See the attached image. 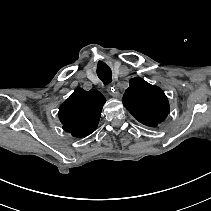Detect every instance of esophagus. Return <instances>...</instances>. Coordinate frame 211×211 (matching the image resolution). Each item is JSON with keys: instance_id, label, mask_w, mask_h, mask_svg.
<instances>
[{"instance_id": "esophagus-1", "label": "esophagus", "mask_w": 211, "mask_h": 211, "mask_svg": "<svg viewBox=\"0 0 211 211\" xmlns=\"http://www.w3.org/2000/svg\"><path fill=\"white\" fill-rule=\"evenodd\" d=\"M107 92L113 97H117V98L120 97V92H119L118 88H116V87H114L112 89V87L108 86Z\"/></svg>"}]
</instances>
